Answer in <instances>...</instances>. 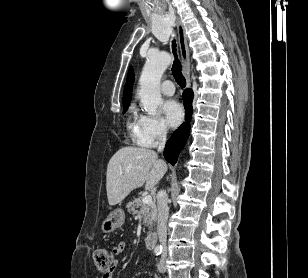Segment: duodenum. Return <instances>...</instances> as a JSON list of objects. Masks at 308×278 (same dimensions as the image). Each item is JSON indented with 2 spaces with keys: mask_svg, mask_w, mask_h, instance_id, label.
Masks as SVG:
<instances>
[{
  "mask_svg": "<svg viewBox=\"0 0 308 278\" xmlns=\"http://www.w3.org/2000/svg\"><path fill=\"white\" fill-rule=\"evenodd\" d=\"M145 242L148 248H154L157 244V234L155 232L149 233L146 236Z\"/></svg>",
  "mask_w": 308,
  "mask_h": 278,
  "instance_id": "obj_1",
  "label": "duodenum"
}]
</instances>
